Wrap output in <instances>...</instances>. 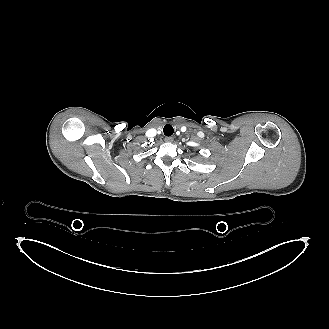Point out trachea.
<instances>
[{"label":"trachea","mask_w":329,"mask_h":329,"mask_svg":"<svg viewBox=\"0 0 329 329\" xmlns=\"http://www.w3.org/2000/svg\"><path fill=\"white\" fill-rule=\"evenodd\" d=\"M163 132L166 136H171L174 132L173 127L170 124L164 126Z\"/></svg>","instance_id":"obj_1"}]
</instances>
